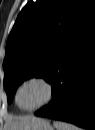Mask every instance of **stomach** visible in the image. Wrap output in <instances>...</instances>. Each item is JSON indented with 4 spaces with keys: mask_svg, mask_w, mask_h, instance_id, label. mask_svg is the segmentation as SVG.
Returning a JSON list of instances; mask_svg holds the SVG:
<instances>
[{
    "mask_svg": "<svg viewBox=\"0 0 95 130\" xmlns=\"http://www.w3.org/2000/svg\"><path fill=\"white\" fill-rule=\"evenodd\" d=\"M17 130H54L49 121L44 118H31Z\"/></svg>",
    "mask_w": 95,
    "mask_h": 130,
    "instance_id": "1",
    "label": "stomach"
}]
</instances>
